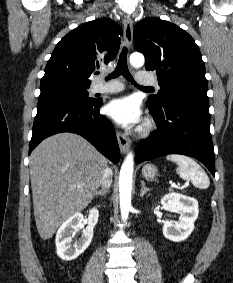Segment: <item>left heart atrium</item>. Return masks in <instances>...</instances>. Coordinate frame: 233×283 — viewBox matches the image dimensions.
<instances>
[{"label": "left heart atrium", "mask_w": 233, "mask_h": 283, "mask_svg": "<svg viewBox=\"0 0 233 283\" xmlns=\"http://www.w3.org/2000/svg\"><path fill=\"white\" fill-rule=\"evenodd\" d=\"M107 114L116 123L125 127L135 126L141 120L138 102L132 96L112 100L107 105Z\"/></svg>", "instance_id": "39dd6f15"}]
</instances>
